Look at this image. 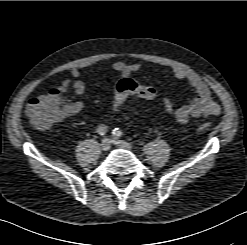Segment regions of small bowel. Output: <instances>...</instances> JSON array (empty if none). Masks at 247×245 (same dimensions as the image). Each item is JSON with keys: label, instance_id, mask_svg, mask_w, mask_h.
Segmentation results:
<instances>
[{"label": "small bowel", "instance_id": "c3829d8e", "mask_svg": "<svg viewBox=\"0 0 247 245\" xmlns=\"http://www.w3.org/2000/svg\"><path fill=\"white\" fill-rule=\"evenodd\" d=\"M92 65L91 63H85L74 66L70 71L74 79H65L58 87L50 89L46 96L60 98L64 101V94L68 91H73L78 95L84 94L86 86L80 76L83 69ZM141 67L142 65L139 63L129 64L119 61L113 64L112 69L125 78L139 71ZM172 73L176 79L186 81L192 87L194 96L188 103L181 106H175L170 98L164 97L162 99L163 106L169 115L180 123H187L192 119L215 116L220 113L219 104L213 99L210 88L200 76L180 67H174ZM83 107L84 105L80 101L65 102L63 117L75 115L81 112Z\"/></svg>", "mask_w": 247, "mask_h": 245}]
</instances>
